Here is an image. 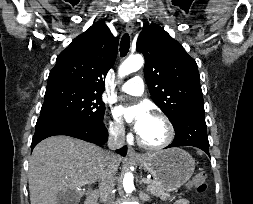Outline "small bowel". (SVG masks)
I'll return each instance as SVG.
<instances>
[{"instance_id": "obj_1", "label": "small bowel", "mask_w": 253, "mask_h": 204, "mask_svg": "<svg viewBox=\"0 0 253 204\" xmlns=\"http://www.w3.org/2000/svg\"><path fill=\"white\" fill-rule=\"evenodd\" d=\"M175 204H190V203L186 199H181V200H178Z\"/></svg>"}]
</instances>
